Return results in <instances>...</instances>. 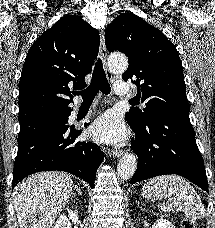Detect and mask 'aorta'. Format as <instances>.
<instances>
[{
  "instance_id": "762f6f07",
  "label": "aorta",
  "mask_w": 215,
  "mask_h": 228,
  "mask_svg": "<svg viewBox=\"0 0 215 228\" xmlns=\"http://www.w3.org/2000/svg\"><path fill=\"white\" fill-rule=\"evenodd\" d=\"M110 64L112 68H116L118 72H124L128 68V60L123 54L118 56H110ZM137 168V158L133 154H126L118 164L117 172L121 180H130L134 176Z\"/></svg>"
}]
</instances>
